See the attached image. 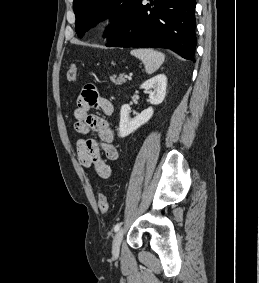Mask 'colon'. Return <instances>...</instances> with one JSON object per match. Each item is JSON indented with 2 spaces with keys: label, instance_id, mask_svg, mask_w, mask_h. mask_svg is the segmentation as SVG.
Returning <instances> with one entry per match:
<instances>
[{
  "label": "colon",
  "instance_id": "obj_1",
  "mask_svg": "<svg viewBox=\"0 0 259 283\" xmlns=\"http://www.w3.org/2000/svg\"><path fill=\"white\" fill-rule=\"evenodd\" d=\"M77 66L71 64L66 72V77L69 82H75L77 79ZM98 207L101 212H106L108 210V199L104 192H100L98 196Z\"/></svg>",
  "mask_w": 259,
  "mask_h": 283
}]
</instances>
